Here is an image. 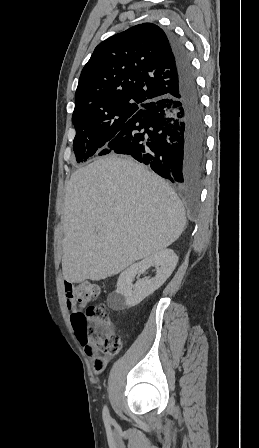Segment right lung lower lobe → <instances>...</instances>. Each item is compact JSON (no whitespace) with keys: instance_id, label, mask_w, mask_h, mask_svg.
Segmentation results:
<instances>
[{"instance_id":"98d812e1","label":"right lung lower lobe","mask_w":259,"mask_h":448,"mask_svg":"<svg viewBox=\"0 0 259 448\" xmlns=\"http://www.w3.org/2000/svg\"><path fill=\"white\" fill-rule=\"evenodd\" d=\"M178 73L177 90L144 106L108 143V153L127 154L177 187L198 186L205 161V126L190 59L166 32Z\"/></svg>"}]
</instances>
